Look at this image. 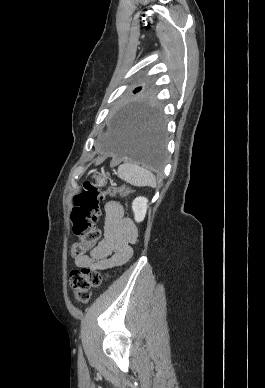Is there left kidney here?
<instances>
[{"instance_id":"left-kidney-1","label":"left kidney","mask_w":265,"mask_h":388,"mask_svg":"<svg viewBox=\"0 0 265 388\" xmlns=\"http://www.w3.org/2000/svg\"><path fill=\"white\" fill-rule=\"evenodd\" d=\"M147 198H135L132 202V210L134 212L135 222H143L147 212Z\"/></svg>"}]
</instances>
